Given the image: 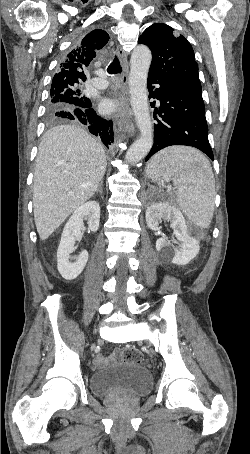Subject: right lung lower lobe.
<instances>
[{"instance_id":"1","label":"right lung lower lobe","mask_w":250,"mask_h":454,"mask_svg":"<svg viewBox=\"0 0 250 454\" xmlns=\"http://www.w3.org/2000/svg\"><path fill=\"white\" fill-rule=\"evenodd\" d=\"M91 106V101H89L71 110H60L57 114L61 118L75 120L86 125L92 134L99 136L104 145L109 147L114 140L112 121L98 116Z\"/></svg>"}]
</instances>
